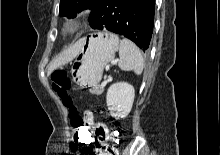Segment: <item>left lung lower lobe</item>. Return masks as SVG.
<instances>
[{"mask_svg":"<svg viewBox=\"0 0 220 155\" xmlns=\"http://www.w3.org/2000/svg\"><path fill=\"white\" fill-rule=\"evenodd\" d=\"M155 0H99L92 8L93 29L123 35L145 51L153 32Z\"/></svg>","mask_w":220,"mask_h":155,"instance_id":"1","label":"left lung lower lobe"}]
</instances>
